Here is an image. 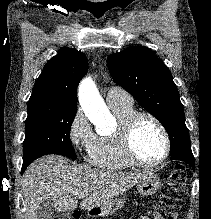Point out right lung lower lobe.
I'll return each mask as SVG.
<instances>
[{
  "instance_id": "right-lung-lower-lobe-1",
  "label": "right lung lower lobe",
  "mask_w": 211,
  "mask_h": 219,
  "mask_svg": "<svg viewBox=\"0 0 211 219\" xmlns=\"http://www.w3.org/2000/svg\"><path fill=\"white\" fill-rule=\"evenodd\" d=\"M29 164H30V162H23L21 174H23V172L25 171V169L27 168V166H28Z\"/></svg>"
}]
</instances>
